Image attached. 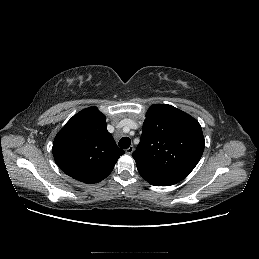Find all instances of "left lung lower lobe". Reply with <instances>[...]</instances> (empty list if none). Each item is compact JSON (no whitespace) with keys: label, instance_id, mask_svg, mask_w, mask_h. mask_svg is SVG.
Instances as JSON below:
<instances>
[{"label":"left lung lower lobe","instance_id":"1","mask_svg":"<svg viewBox=\"0 0 259 259\" xmlns=\"http://www.w3.org/2000/svg\"><path fill=\"white\" fill-rule=\"evenodd\" d=\"M137 169H138V172L140 173V175L151 185H154V186H170V185L178 183L177 181L167 179L165 177L154 174L147 169H144V168H141V167H137Z\"/></svg>","mask_w":259,"mask_h":259}]
</instances>
